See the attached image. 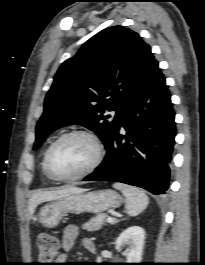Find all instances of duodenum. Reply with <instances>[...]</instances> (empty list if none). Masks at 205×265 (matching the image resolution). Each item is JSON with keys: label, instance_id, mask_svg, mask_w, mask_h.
<instances>
[{"label": "duodenum", "instance_id": "obj_1", "mask_svg": "<svg viewBox=\"0 0 205 265\" xmlns=\"http://www.w3.org/2000/svg\"><path fill=\"white\" fill-rule=\"evenodd\" d=\"M89 251H90L91 253H94V252H95V247H89Z\"/></svg>", "mask_w": 205, "mask_h": 265}]
</instances>
